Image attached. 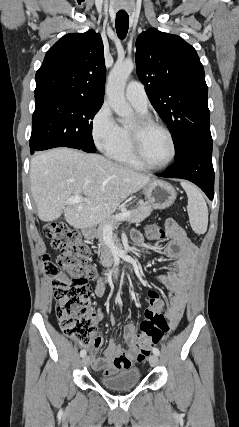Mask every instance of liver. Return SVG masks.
<instances>
[{
	"mask_svg": "<svg viewBox=\"0 0 239 427\" xmlns=\"http://www.w3.org/2000/svg\"><path fill=\"white\" fill-rule=\"evenodd\" d=\"M150 176L99 154L56 148L30 162L31 193L38 217L52 222L64 213L74 228L88 229L109 219L131 194L150 182ZM83 201L66 204L74 195Z\"/></svg>",
	"mask_w": 239,
	"mask_h": 427,
	"instance_id": "liver-1",
	"label": "liver"
}]
</instances>
